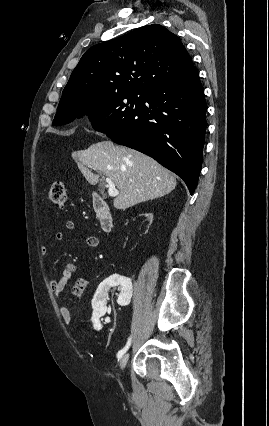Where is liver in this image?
I'll return each instance as SVG.
<instances>
[{"label": "liver", "mask_w": 269, "mask_h": 426, "mask_svg": "<svg viewBox=\"0 0 269 426\" xmlns=\"http://www.w3.org/2000/svg\"><path fill=\"white\" fill-rule=\"evenodd\" d=\"M72 157L91 185L99 182L101 174L113 181L119 190L113 202L116 209L125 210L162 197L177 185L174 175L154 159L134 149L114 145L111 141L98 142L88 149L75 151Z\"/></svg>", "instance_id": "liver-1"}]
</instances>
